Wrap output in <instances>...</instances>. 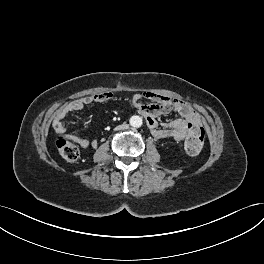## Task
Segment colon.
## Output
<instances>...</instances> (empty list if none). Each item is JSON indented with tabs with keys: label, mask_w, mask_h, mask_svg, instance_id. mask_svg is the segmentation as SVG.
Returning a JSON list of instances; mask_svg holds the SVG:
<instances>
[{
	"label": "colon",
	"mask_w": 264,
	"mask_h": 264,
	"mask_svg": "<svg viewBox=\"0 0 264 264\" xmlns=\"http://www.w3.org/2000/svg\"><path fill=\"white\" fill-rule=\"evenodd\" d=\"M205 132L201 126H194L184 147L188 154L197 155L201 152L204 145ZM56 146L60 155L67 161L73 162L79 158V149L65 135L59 134L56 139Z\"/></svg>",
	"instance_id": "obj_1"
}]
</instances>
